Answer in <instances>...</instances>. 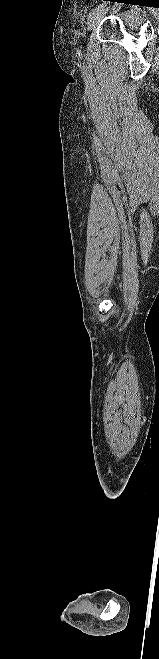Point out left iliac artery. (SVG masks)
I'll use <instances>...</instances> for the list:
<instances>
[{
	"label": "left iliac artery",
	"instance_id": "obj_1",
	"mask_svg": "<svg viewBox=\"0 0 159 659\" xmlns=\"http://www.w3.org/2000/svg\"><path fill=\"white\" fill-rule=\"evenodd\" d=\"M103 7H104V4H99V5H97L94 9H92V11H91L90 14H89V17H90L92 14H94L95 12H97L98 10H100L101 8H103Z\"/></svg>",
	"mask_w": 159,
	"mask_h": 659
}]
</instances>
